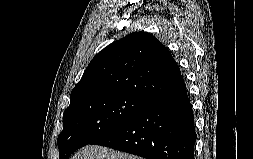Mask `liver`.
Returning <instances> with one entry per match:
<instances>
[{
  "instance_id": "obj_1",
  "label": "liver",
  "mask_w": 253,
  "mask_h": 159,
  "mask_svg": "<svg viewBox=\"0 0 253 159\" xmlns=\"http://www.w3.org/2000/svg\"><path fill=\"white\" fill-rule=\"evenodd\" d=\"M71 159H143L135 155L115 151L102 146L87 145L77 151Z\"/></svg>"
}]
</instances>
